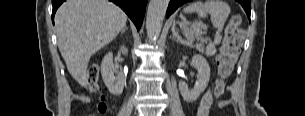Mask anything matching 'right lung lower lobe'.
I'll return each instance as SVG.
<instances>
[{
    "label": "right lung lower lobe",
    "mask_w": 305,
    "mask_h": 116,
    "mask_svg": "<svg viewBox=\"0 0 305 116\" xmlns=\"http://www.w3.org/2000/svg\"><path fill=\"white\" fill-rule=\"evenodd\" d=\"M65 0H52L53 5V12H52V21L54 23V15L58 7L64 2ZM113 3L120 6L126 14L131 18V20L136 25L137 29L139 30L144 14L145 8L147 4V0H110Z\"/></svg>",
    "instance_id": "obj_1"
}]
</instances>
